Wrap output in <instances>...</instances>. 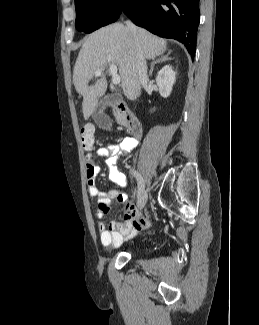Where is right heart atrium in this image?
<instances>
[{"instance_id": "obj_1", "label": "right heart atrium", "mask_w": 259, "mask_h": 325, "mask_svg": "<svg viewBox=\"0 0 259 325\" xmlns=\"http://www.w3.org/2000/svg\"><path fill=\"white\" fill-rule=\"evenodd\" d=\"M108 2H112V0H108Z\"/></svg>"}]
</instances>
